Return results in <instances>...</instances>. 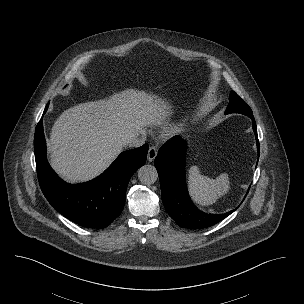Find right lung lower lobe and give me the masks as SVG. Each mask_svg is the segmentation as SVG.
I'll return each mask as SVG.
<instances>
[{"label": "right lung lower lobe", "mask_w": 304, "mask_h": 304, "mask_svg": "<svg viewBox=\"0 0 304 304\" xmlns=\"http://www.w3.org/2000/svg\"><path fill=\"white\" fill-rule=\"evenodd\" d=\"M47 104L44 113L48 109ZM149 146L122 152L97 178L81 184H68L52 170L46 159L42 118L34 136L38 180L49 203L63 216L83 226L105 228L122 212L128 182L146 162Z\"/></svg>", "instance_id": "1"}]
</instances>
